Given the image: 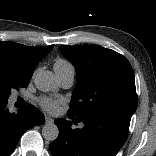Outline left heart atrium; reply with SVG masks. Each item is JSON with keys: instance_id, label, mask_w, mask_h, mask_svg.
I'll return each mask as SVG.
<instances>
[{"instance_id": "1", "label": "left heart atrium", "mask_w": 156, "mask_h": 156, "mask_svg": "<svg viewBox=\"0 0 156 156\" xmlns=\"http://www.w3.org/2000/svg\"><path fill=\"white\" fill-rule=\"evenodd\" d=\"M38 102L44 110L50 113L57 112L59 108V101L50 97H40Z\"/></svg>"}]
</instances>
